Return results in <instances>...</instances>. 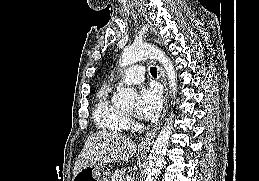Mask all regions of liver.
Here are the masks:
<instances>
[{
    "instance_id": "1",
    "label": "liver",
    "mask_w": 259,
    "mask_h": 181,
    "mask_svg": "<svg viewBox=\"0 0 259 181\" xmlns=\"http://www.w3.org/2000/svg\"><path fill=\"white\" fill-rule=\"evenodd\" d=\"M136 152V144L116 132L101 131L90 135L75 162L73 175L93 162H127Z\"/></svg>"
}]
</instances>
